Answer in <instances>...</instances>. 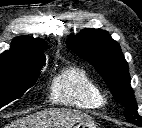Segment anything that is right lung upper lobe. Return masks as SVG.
Listing matches in <instances>:
<instances>
[{
	"mask_svg": "<svg viewBox=\"0 0 142 128\" xmlns=\"http://www.w3.org/2000/svg\"><path fill=\"white\" fill-rule=\"evenodd\" d=\"M47 44L42 39L22 37L13 41L10 50L0 56V78H13L34 63L45 61Z\"/></svg>",
	"mask_w": 142,
	"mask_h": 128,
	"instance_id": "obj_1",
	"label": "right lung upper lobe"
}]
</instances>
